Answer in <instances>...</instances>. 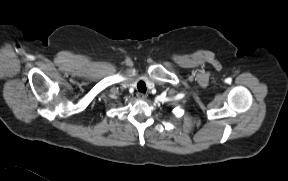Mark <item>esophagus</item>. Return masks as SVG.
Instances as JSON below:
<instances>
[{"label":"esophagus","mask_w":288,"mask_h":181,"mask_svg":"<svg viewBox=\"0 0 288 181\" xmlns=\"http://www.w3.org/2000/svg\"><path fill=\"white\" fill-rule=\"evenodd\" d=\"M137 97H138L139 99L145 100V99L147 98V95L144 94V93L139 92V93H137Z\"/></svg>","instance_id":"1"}]
</instances>
